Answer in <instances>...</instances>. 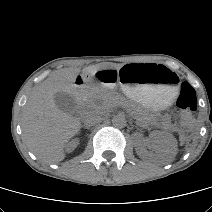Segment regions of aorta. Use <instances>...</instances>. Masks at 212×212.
Masks as SVG:
<instances>
[{"label": "aorta", "mask_w": 212, "mask_h": 212, "mask_svg": "<svg viewBox=\"0 0 212 212\" xmlns=\"http://www.w3.org/2000/svg\"><path fill=\"white\" fill-rule=\"evenodd\" d=\"M112 124L116 128H124L126 126V119L123 115L114 116L112 119Z\"/></svg>", "instance_id": "obj_1"}]
</instances>
